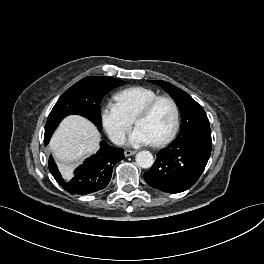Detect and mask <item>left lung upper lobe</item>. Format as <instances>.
I'll list each match as a JSON object with an SVG mask.
<instances>
[{
  "label": "left lung upper lobe",
  "mask_w": 264,
  "mask_h": 264,
  "mask_svg": "<svg viewBox=\"0 0 264 264\" xmlns=\"http://www.w3.org/2000/svg\"><path fill=\"white\" fill-rule=\"evenodd\" d=\"M163 87L175 100L181 115V128L177 138L188 136L200 129H210L204 109L186 92L169 82L151 81Z\"/></svg>",
  "instance_id": "obj_1"
}]
</instances>
